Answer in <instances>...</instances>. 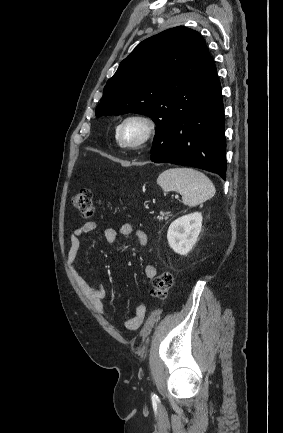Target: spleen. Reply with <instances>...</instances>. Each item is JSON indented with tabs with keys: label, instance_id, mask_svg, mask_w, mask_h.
I'll use <instances>...</instances> for the list:
<instances>
[{
	"label": "spleen",
	"instance_id": "1",
	"mask_svg": "<svg viewBox=\"0 0 283 433\" xmlns=\"http://www.w3.org/2000/svg\"><path fill=\"white\" fill-rule=\"evenodd\" d=\"M157 184L168 192L176 190L182 194L184 204L196 206L214 196L216 190L210 178L194 168H168L161 172Z\"/></svg>",
	"mask_w": 283,
	"mask_h": 433
}]
</instances>
